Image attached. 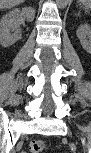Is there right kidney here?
Instances as JSON below:
<instances>
[{
    "label": "right kidney",
    "instance_id": "1",
    "mask_svg": "<svg viewBox=\"0 0 91 153\" xmlns=\"http://www.w3.org/2000/svg\"><path fill=\"white\" fill-rule=\"evenodd\" d=\"M32 22L35 17V9L30 7L16 8L2 17L0 23V44L2 47H9L21 38V34L17 31L21 18ZM10 31L13 33L11 34Z\"/></svg>",
    "mask_w": 91,
    "mask_h": 153
}]
</instances>
